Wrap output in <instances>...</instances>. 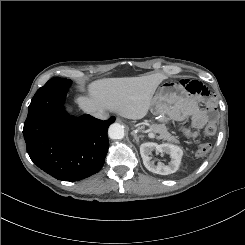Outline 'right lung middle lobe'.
<instances>
[{
    "label": "right lung middle lobe",
    "mask_w": 245,
    "mask_h": 245,
    "mask_svg": "<svg viewBox=\"0 0 245 245\" xmlns=\"http://www.w3.org/2000/svg\"><path fill=\"white\" fill-rule=\"evenodd\" d=\"M51 80H67V79H62V78H52ZM50 81V80H49ZM70 82H71V80H70Z\"/></svg>",
    "instance_id": "right-lung-middle-lobe-1"
}]
</instances>
